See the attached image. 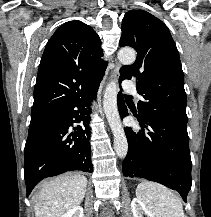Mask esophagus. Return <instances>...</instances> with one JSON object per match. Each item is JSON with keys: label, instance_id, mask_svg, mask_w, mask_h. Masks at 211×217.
<instances>
[{"label": "esophagus", "instance_id": "1", "mask_svg": "<svg viewBox=\"0 0 211 217\" xmlns=\"http://www.w3.org/2000/svg\"><path fill=\"white\" fill-rule=\"evenodd\" d=\"M119 68H120V64L118 62H115V67L110 73L109 80L117 81L119 77Z\"/></svg>", "mask_w": 211, "mask_h": 217}]
</instances>
